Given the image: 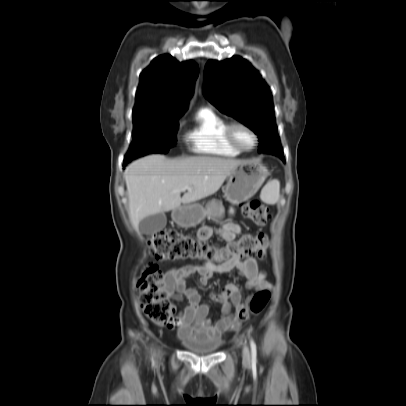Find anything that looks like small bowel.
I'll return each instance as SVG.
<instances>
[{
  "mask_svg": "<svg viewBox=\"0 0 406 406\" xmlns=\"http://www.w3.org/2000/svg\"><path fill=\"white\" fill-rule=\"evenodd\" d=\"M235 210L230 208L229 214L233 215ZM241 232V227L236 223H225L219 228L209 226L202 227L198 232L201 241L218 235L226 242L236 239ZM236 270L238 276L246 279V286L249 290L271 289L272 284L266 277L264 271L259 270L255 258H247L244 261H231L220 265L206 263L205 265H186L179 268H172L165 273L164 282L167 295L177 301H183L185 308L177 312L173 307L172 314H176L168 325L171 329H177L181 338H195L200 340H215L227 331L238 328V313L245 307L242 301L241 289L233 282L227 283L223 290L218 293H211L210 298L221 304L219 316L210 317L211 307L208 304H201V294L197 289L190 287L188 281L195 275L199 276V283L207 285L216 273H226Z\"/></svg>",
  "mask_w": 406,
  "mask_h": 406,
  "instance_id": "obj_1",
  "label": "small bowel"
}]
</instances>
